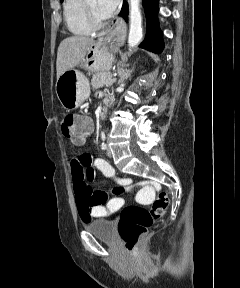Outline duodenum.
<instances>
[{
    "instance_id": "obj_1",
    "label": "duodenum",
    "mask_w": 240,
    "mask_h": 288,
    "mask_svg": "<svg viewBox=\"0 0 240 288\" xmlns=\"http://www.w3.org/2000/svg\"><path fill=\"white\" fill-rule=\"evenodd\" d=\"M109 105H110V102L107 101V102L105 103L104 108L102 109V111H101V113H100V116H101V117H104V116L106 115V112H107V109H108Z\"/></svg>"
}]
</instances>
